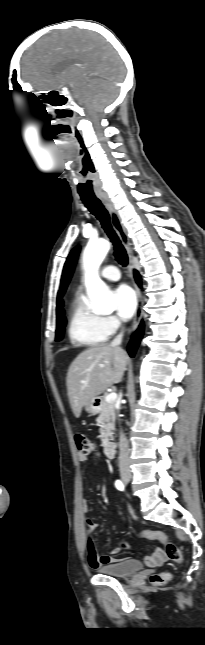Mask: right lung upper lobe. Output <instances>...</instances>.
I'll list each match as a JSON object with an SVG mask.
<instances>
[{
  "label": "right lung upper lobe",
  "mask_w": 205,
  "mask_h": 645,
  "mask_svg": "<svg viewBox=\"0 0 205 645\" xmlns=\"http://www.w3.org/2000/svg\"><path fill=\"white\" fill-rule=\"evenodd\" d=\"M63 302L60 297V293H58V298H57V319L61 317V315L64 313V310L62 309Z\"/></svg>",
  "instance_id": "cb5924a9"
}]
</instances>
